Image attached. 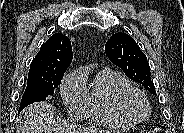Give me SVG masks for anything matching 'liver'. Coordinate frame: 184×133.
Instances as JSON below:
<instances>
[{"label":"liver","mask_w":184,"mask_h":133,"mask_svg":"<svg viewBox=\"0 0 184 133\" xmlns=\"http://www.w3.org/2000/svg\"><path fill=\"white\" fill-rule=\"evenodd\" d=\"M54 112V107L47 102L28 106L19 117L17 133H105L87 127L62 128L56 123Z\"/></svg>","instance_id":"liver-1"}]
</instances>
